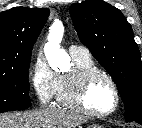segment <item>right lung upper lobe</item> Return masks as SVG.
Listing matches in <instances>:
<instances>
[{
  "label": "right lung upper lobe",
  "instance_id": "cb5924a9",
  "mask_svg": "<svg viewBox=\"0 0 142 128\" xmlns=\"http://www.w3.org/2000/svg\"><path fill=\"white\" fill-rule=\"evenodd\" d=\"M47 8L14 7L0 13V71L31 59L33 45L47 18Z\"/></svg>",
  "mask_w": 142,
  "mask_h": 128
}]
</instances>
